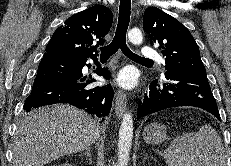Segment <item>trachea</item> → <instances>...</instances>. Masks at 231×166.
I'll return each mask as SVG.
<instances>
[{
	"instance_id": "3493384b",
	"label": "trachea",
	"mask_w": 231,
	"mask_h": 166,
	"mask_svg": "<svg viewBox=\"0 0 231 166\" xmlns=\"http://www.w3.org/2000/svg\"><path fill=\"white\" fill-rule=\"evenodd\" d=\"M131 0H120L118 24L112 42L100 48L101 57L109 58L119 49L125 56L136 61H152L133 53L126 44V33L130 22Z\"/></svg>"
}]
</instances>
